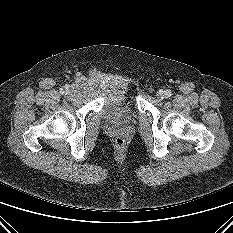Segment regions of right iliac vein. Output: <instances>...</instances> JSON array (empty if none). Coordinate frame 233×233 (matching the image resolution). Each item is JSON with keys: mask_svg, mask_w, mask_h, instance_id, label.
Returning a JSON list of instances; mask_svg holds the SVG:
<instances>
[{"mask_svg": "<svg viewBox=\"0 0 233 233\" xmlns=\"http://www.w3.org/2000/svg\"><path fill=\"white\" fill-rule=\"evenodd\" d=\"M65 95L67 98L73 97V90H67Z\"/></svg>", "mask_w": 233, "mask_h": 233, "instance_id": "63e3f726", "label": "right iliac vein"}]
</instances>
